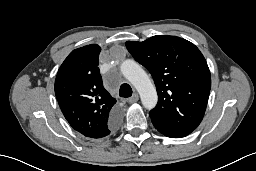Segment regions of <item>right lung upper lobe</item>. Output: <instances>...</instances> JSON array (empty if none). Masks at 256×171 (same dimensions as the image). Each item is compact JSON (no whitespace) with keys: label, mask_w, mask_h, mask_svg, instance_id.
<instances>
[{"label":"right lung upper lobe","mask_w":256,"mask_h":171,"mask_svg":"<svg viewBox=\"0 0 256 171\" xmlns=\"http://www.w3.org/2000/svg\"><path fill=\"white\" fill-rule=\"evenodd\" d=\"M101 48L96 44L73 50L60 66L55 95L72 128L86 137L102 138L117 111L116 100L103 87L98 68Z\"/></svg>","instance_id":"cb5924a9"}]
</instances>
